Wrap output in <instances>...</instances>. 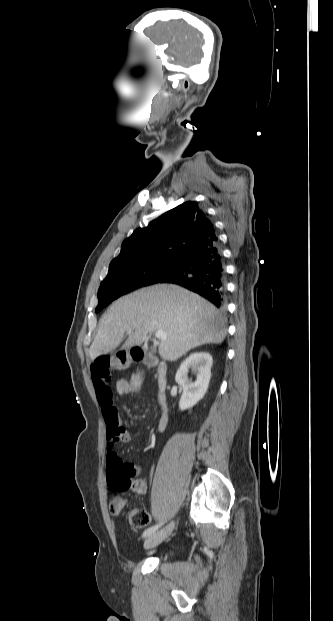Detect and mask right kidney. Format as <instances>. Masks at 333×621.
<instances>
[{"label": "right kidney", "mask_w": 333, "mask_h": 621, "mask_svg": "<svg viewBox=\"0 0 333 621\" xmlns=\"http://www.w3.org/2000/svg\"><path fill=\"white\" fill-rule=\"evenodd\" d=\"M212 364V356L204 351L190 354L181 363L175 376V381L183 388L179 401L181 410L192 408L204 397L211 377ZM189 369L197 375L195 382L188 378Z\"/></svg>", "instance_id": "right-kidney-1"}]
</instances>
